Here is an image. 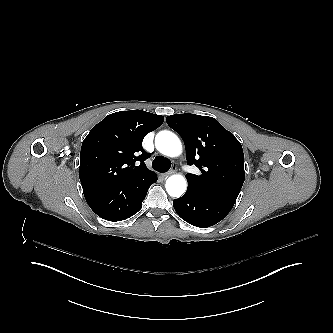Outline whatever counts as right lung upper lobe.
<instances>
[{"instance_id": "obj_1", "label": "right lung upper lobe", "mask_w": 333, "mask_h": 333, "mask_svg": "<svg viewBox=\"0 0 333 333\" xmlns=\"http://www.w3.org/2000/svg\"><path fill=\"white\" fill-rule=\"evenodd\" d=\"M163 121V116L142 110L121 111L105 117L82 143L80 181H121L150 171L144 163L150 154L143 150L142 141Z\"/></svg>"}]
</instances>
